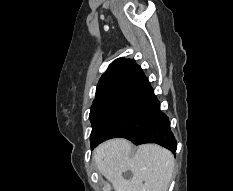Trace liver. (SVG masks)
<instances>
[{"label":"liver","mask_w":233,"mask_h":191,"mask_svg":"<svg viewBox=\"0 0 233 191\" xmlns=\"http://www.w3.org/2000/svg\"><path fill=\"white\" fill-rule=\"evenodd\" d=\"M98 171L112 184L114 191H167L174 170L173 154L156 144H145L132 153L130 141L108 140L94 151ZM130 170L132 178H123Z\"/></svg>","instance_id":"liver-1"}]
</instances>
